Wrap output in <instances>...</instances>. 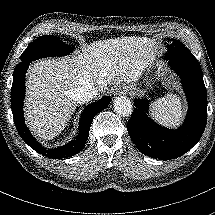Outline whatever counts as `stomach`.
Instances as JSON below:
<instances>
[{"label": "stomach", "mask_w": 215, "mask_h": 215, "mask_svg": "<svg viewBox=\"0 0 215 215\" xmlns=\"http://www.w3.org/2000/svg\"><path fill=\"white\" fill-rule=\"evenodd\" d=\"M156 53H154V58L148 60L147 64L143 67V72H145V74L147 75L148 73H151L154 69V64H155V58H156ZM153 78V75L151 74L145 81L148 87H150V80ZM116 90H126L127 93H129V91L132 90H136V87H134L132 84L127 85L125 83H122L118 89ZM144 94V92H143Z\"/></svg>", "instance_id": "0dacf381"}]
</instances>
